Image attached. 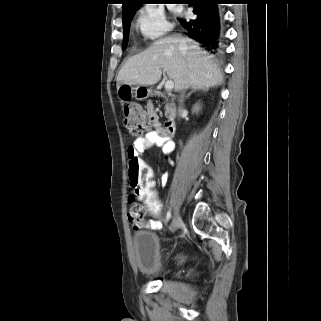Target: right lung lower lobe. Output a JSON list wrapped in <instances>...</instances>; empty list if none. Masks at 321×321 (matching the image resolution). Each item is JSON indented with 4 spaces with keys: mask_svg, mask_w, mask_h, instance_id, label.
<instances>
[{
    "mask_svg": "<svg viewBox=\"0 0 321 321\" xmlns=\"http://www.w3.org/2000/svg\"><path fill=\"white\" fill-rule=\"evenodd\" d=\"M193 6L195 17L190 20L178 19L190 38L203 44L208 50L219 47L220 18L218 4L222 0H188Z\"/></svg>",
    "mask_w": 321,
    "mask_h": 321,
    "instance_id": "1",
    "label": "right lung lower lobe"
}]
</instances>
